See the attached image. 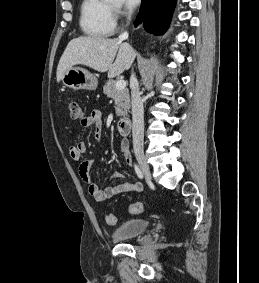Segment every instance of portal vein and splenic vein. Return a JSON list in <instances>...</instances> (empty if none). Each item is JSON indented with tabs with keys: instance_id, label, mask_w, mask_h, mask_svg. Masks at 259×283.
Wrapping results in <instances>:
<instances>
[{
	"instance_id": "portal-vein-and-splenic-vein-1",
	"label": "portal vein and splenic vein",
	"mask_w": 259,
	"mask_h": 283,
	"mask_svg": "<svg viewBox=\"0 0 259 283\" xmlns=\"http://www.w3.org/2000/svg\"><path fill=\"white\" fill-rule=\"evenodd\" d=\"M126 87V81L125 80H118L115 84V88L117 90H122Z\"/></svg>"
}]
</instances>
